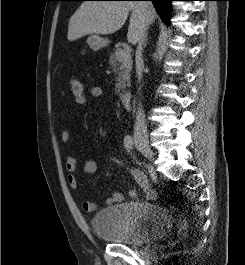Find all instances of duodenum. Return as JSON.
<instances>
[{
    "label": "duodenum",
    "mask_w": 245,
    "mask_h": 265,
    "mask_svg": "<svg viewBox=\"0 0 245 265\" xmlns=\"http://www.w3.org/2000/svg\"><path fill=\"white\" fill-rule=\"evenodd\" d=\"M122 103L126 109H130L132 105V93L125 91L122 93Z\"/></svg>",
    "instance_id": "duodenum-1"
}]
</instances>
